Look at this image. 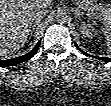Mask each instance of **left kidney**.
<instances>
[{
	"instance_id": "obj_1",
	"label": "left kidney",
	"mask_w": 111,
	"mask_h": 106,
	"mask_svg": "<svg viewBox=\"0 0 111 106\" xmlns=\"http://www.w3.org/2000/svg\"><path fill=\"white\" fill-rule=\"evenodd\" d=\"M80 28L84 37L93 38L96 34V31L91 24L84 23Z\"/></svg>"
}]
</instances>
